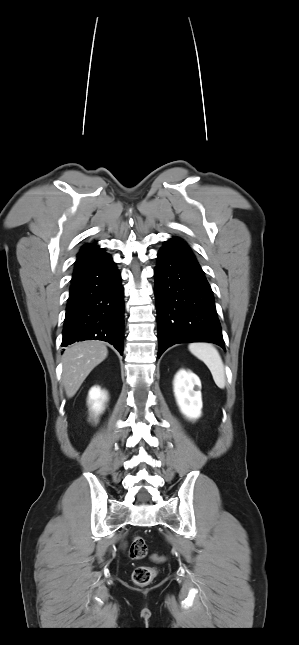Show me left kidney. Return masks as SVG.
I'll return each mask as SVG.
<instances>
[{
  "instance_id": "1",
  "label": "left kidney",
  "mask_w": 299,
  "mask_h": 645,
  "mask_svg": "<svg viewBox=\"0 0 299 645\" xmlns=\"http://www.w3.org/2000/svg\"><path fill=\"white\" fill-rule=\"evenodd\" d=\"M174 395L181 413L190 420L201 416L202 398L200 388L201 382L198 376L192 372L180 370L174 378Z\"/></svg>"
}]
</instances>
